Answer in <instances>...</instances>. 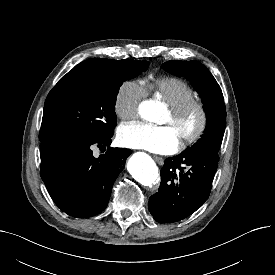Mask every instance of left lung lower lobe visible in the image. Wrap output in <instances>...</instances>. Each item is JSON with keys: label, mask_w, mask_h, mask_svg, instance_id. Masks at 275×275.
<instances>
[{"label": "left lung lower lobe", "mask_w": 275, "mask_h": 275, "mask_svg": "<svg viewBox=\"0 0 275 275\" xmlns=\"http://www.w3.org/2000/svg\"><path fill=\"white\" fill-rule=\"evenodd\" d=\"M218 161V152L208 149L166 159L158 192L149 201L153 218L170 223L194 213L209 197Z\"/></svg>", "instance_id": "obj_1"}]
</instances>
